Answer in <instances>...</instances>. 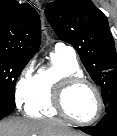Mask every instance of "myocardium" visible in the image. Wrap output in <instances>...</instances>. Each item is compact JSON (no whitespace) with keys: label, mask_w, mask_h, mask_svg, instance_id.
<instances>
[{"label":"myocardium","mask_w":117,"mask_h":136,"mask_svg":"<svg viewBox=\"0 0 117 136\" xmlns=\"http://www.w3.org/2000/svg\"><path fill=\"white\" fill-rule=\"evenodd\" d=\"M79 86L90 87L96 95L98 108L96 115L92 119L89 120L77 119L69 111L68 108L69 95ZM52 104L54 109L57 111L59 115L68 119L72 123L80 125H90L97 122L100 119L104 108L103 97L99 88L89 79L81 75H70L60 80L54 89Z\"/></svg>","instance_id":"f54148a6"}]
</instances>
